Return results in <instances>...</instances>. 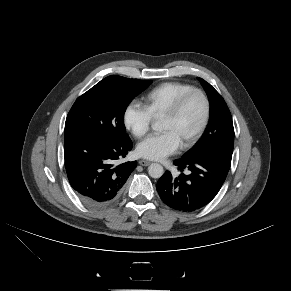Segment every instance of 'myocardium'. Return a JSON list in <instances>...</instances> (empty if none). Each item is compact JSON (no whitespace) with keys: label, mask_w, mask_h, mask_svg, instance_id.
<instances>
[{"label":"myocardium","mask_w":291,"mask_h":291,"mask_svg":"<svg viewBox=\"0 0 291 291\" xmlns=\"http://www.w3.org/2000/svg\"><path fill=\"white\" fill-rule=\"evenodd\" d=\"M195 95H198L203 101L204 106L203 116L195 132L190 136L189 139H187L184 143L181 144L182 149H188L192 147L201 137V135L203 134L208 125L211 114V103L208 95L201 89L193 88L190 91L181 95L178 99H176V101L170 106V108L162 115V117L167 118L176 117L183 108V106L186 104V102Z\"/></svg>","instance_id":"obj_1"}]
</instances>
